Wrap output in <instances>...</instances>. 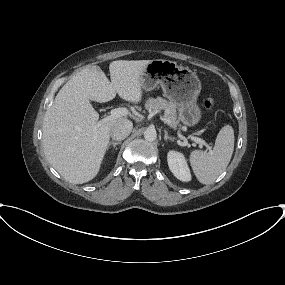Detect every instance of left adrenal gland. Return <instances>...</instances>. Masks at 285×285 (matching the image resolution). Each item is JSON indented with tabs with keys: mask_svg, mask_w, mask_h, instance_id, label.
<instances>
[{
	"mask_svg": "<svg viewBox=\"0 0 285 285\" xmlns=\"http://www.w3.org/2000/svg\"><path fill=\"white\" fill-rule=\"evenodd\" d=\"M164 133H165L164 141H168V140L171 142L174 141L173 138L168 135V132L166 130H164Z\"/></svg>",
	"mask_w": 285,
	"mask_h": 285,
	"instance_id": "a2214340",
	"label": "left adrenal gland"
}]
</instances>
